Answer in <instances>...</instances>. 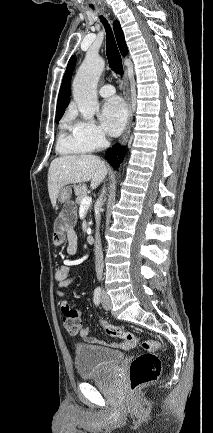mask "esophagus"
<instances>
[{
	"label": "esophagus",
	"mask_w": 213,
	"mask_h": 433,
	"mask_svg": "<svg viewBox=\"0 0 213 433\" xmlns=\"http://www.w3.org/2000/svg\"><path fill=\"white\" fill-rule=\"evenodd\" d=\"M124 84H125V89H126V98H127V106H128V122H127V126H126V130L124 132V135L122 137V143H126L130 132H131V123H132V119H133V107H132V103H131V99H130V91H129V83H128V75H127V71H125L124 74Z\"/></svg>",
	"instance_id": "1"
}]
</instances>
